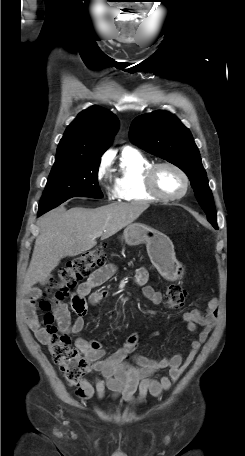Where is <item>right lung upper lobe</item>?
I'll list each match as a JSON object with an SVG mask.
<instances>
[{
	"label": "right lung upper lobe",
	"instance_id": "obj_1",
	"mask_svg": "<svg viewBox=\"0 0 245 456\" xmlns=\"http://www.w3.org/2000/svg\"><path fill=\"white\" fill-rule=\"evenodd\" d=\"M118 127L119 120L112 112L98 106L84 110L67 127L57 147L55 163L72 159H100Z\"/></svg>",
	"mask_w": 245,
	"mask_h": 456
}]
</instances>
